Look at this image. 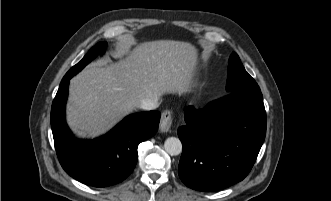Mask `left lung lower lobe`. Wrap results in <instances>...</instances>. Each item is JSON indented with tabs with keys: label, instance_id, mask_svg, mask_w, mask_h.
Returning a JSON list of instances; mask_svg holds the SVG:
<instances>
[{
	"label": "left lung lower lobe",
	"instance_id": "0a47b994",
	"mask_svg": "<svg viewBox=\"0 0 331 201\" xmlns=\"http://www.w3.org/2000/svg\"><path fill=\"white\" fill-rule=\"evenodd\" d=\"M184 118L178 173L187 187L215 191L248 175L266 134L260 89L229 93L203 109L189 106Z\"/></svg>",
	"mask_w": 331,
	"mask_h": 201
}]
</instances>
